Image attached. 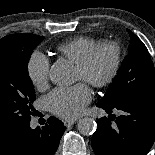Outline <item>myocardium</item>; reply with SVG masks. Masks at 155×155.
<instances>
[{"mask_svg": "<svg viewBox=\"0 0 155 155\" xmlns=\"http://www.w3.org/2000/svg\"><path fill=\"white\" fill-rule=\"evenodd\" d=\"M105 50H109L112 53L111 67L104 77L93 79L90 77V72L100 53ZM121 61L122 55L120 46L115 42H103L93 48L76 66L81 71L84 81L93 87L102 88L108 86L115 80L120 71Z\"/></svg>", "mask_w": 155, "mask_h": 155, "instance_id": "myocardium-1", "label": "myocardium"}]
</instances>
